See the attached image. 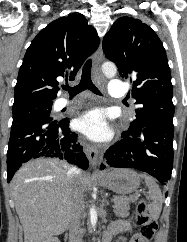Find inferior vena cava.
<instances>
[{"instance_id": "1", "label": "inferior vena cava", "mask_w": 187, "mask_h": 242, "mask_svg": "<svg viewBox=\"0 0 187 242\" xmlns=\"http://www.w3.org/2000/svg\"><path fill=\"white\" fill-rule=\"evenodd\" d=\"M81 174L80 169L72 167L67 175L72 182ZM84 209L83 190L74 183L71 217L69 221V242H83L80 220Z\"/></svg>"}]
</instances>
